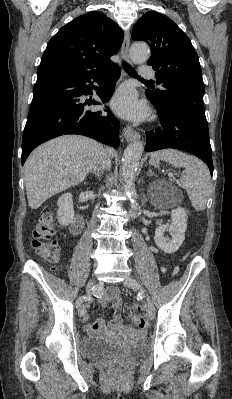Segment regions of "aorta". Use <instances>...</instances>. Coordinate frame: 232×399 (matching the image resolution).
<instances>
[{
    "instance_id": "762f6f07",
    "label": "aorta",
    "mask_w": 232,
    "mask_h": 399,
    "mask_svg": "<svg viewBox=\"0 0 232 399\" xmlns=\"http://www.w3.org/2000/svg\"><path fill=\"white\" fill-rule=\"evenodd\" d=\"M130 58L133 63L141 64L148 60L150 51L145 43H134L130 48ZM143 152L141 142H133L127 146L122 159V172L125 181V191L129 196L131 207L134 211L139 209L136 202L137 194L134 187V178Z\"/></svg>"
}]
</instances>
